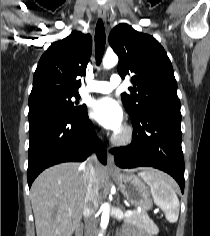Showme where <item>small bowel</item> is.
I'll return each instance as SVG.
<instances>
[{
	"label": "small bowel",
	"instance_id": "c3829d8e",
	"mask_svg": "<svg viewBox=\"0 0 210 236\" xmlns=\"http://www.w3.org/2000/svg\"><path fill=\"white\" fill-rule=\"evenodd\" d=\"M124 236H148V235L144 233H136L133 230L126 229L124 232Z\"/></svg>",
	"mask_w": 210,
	"mask_h": 236
}]
</instances>
